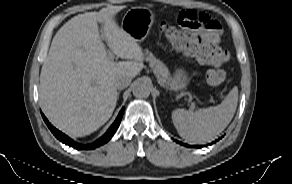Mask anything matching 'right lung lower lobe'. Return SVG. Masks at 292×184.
<instances>
[{
    "instance_id": "1",
    "label": "right lung lower lobe",
    "mask_w": 292,
    "mask_h": 184,
    "mask_svg": "<svg viewBox=\"0 0 292 184\" xmlns=\"http://www.w3.org/2000/svg\"><path fill=\"white\" fill-rule=\"evenodd\" d=\"M123 112H124V108L121 109V111L119 112L116 120L114 121V123L111 125V127L108 129V131L102 136L100 137L98 140H96L93 143L87 144V145H82L79 143H76L75 141H73L72 139H70L68 136H66L64 133L60 132L59 130H57L56 128H54L46 119V117L42 114V117L46 123V125L49 127V129L51 130V132L55 135V137L57 139H59L61 142L65 143L66 145H69L70 147H73L75 149L78 150H90V149H95L103 144H105L106 142H108L111 137L114 135V133L116 132V130L118 129L122 116H123Z\"/></svg>"
}]
</instances>
